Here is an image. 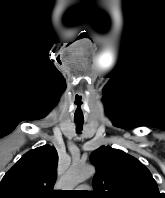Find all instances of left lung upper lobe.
Returning a JSON list of instances; mask_svg holds the SVG:
<instances>
[{
	"mask_svg": "<svg viewBox=\"0 0 165 198\" xmlns=\"http://www.w3.org/2000/svg\"><path fill=\"white\" fill-rule=\"evenodd\" d=\"M93 178L98 198H161L150 171L122 150L101 146L92 152Z\"/></svg>",
	"mask_w": 165,
	"mask_h": 198,
	"instance_id": "5c2ea615",
	"label": "left lung upper lobe"
}]
</instances>
